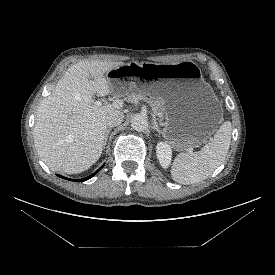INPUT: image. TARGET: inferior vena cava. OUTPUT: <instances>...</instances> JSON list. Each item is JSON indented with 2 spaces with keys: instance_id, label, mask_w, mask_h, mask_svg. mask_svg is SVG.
Here are the masks:
<instances>
[{
  "instance_id": "602c4592",
  "label": "inferior vena cava",
  "mask_w": 275,
  "mask_h": 275,
  "mask_svg": "<svg viewBox=\"0 0 275 275\" xmlns=\"http://www.w3.org/2000/svg\"><path fill=\"white\" fill-rule=\"evenodd\" d=\"M124 115L120 111H113L109 113L106 117V125L108 127H115L123 122Z\"/></svg>"
}]
</instances>
